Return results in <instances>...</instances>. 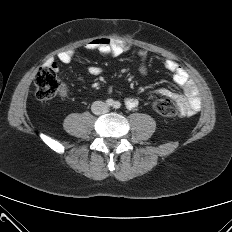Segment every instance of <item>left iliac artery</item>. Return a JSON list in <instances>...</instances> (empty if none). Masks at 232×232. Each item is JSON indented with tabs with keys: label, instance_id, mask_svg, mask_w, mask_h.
I'll return each mask as SVG.
<instances>
[{
	"label": "left iliac artery",
	"instance_id": "obj_1",
	"mask_svg": "<svg viewBox=\"0 0 232 232\" xmlns=\"http://www.w3.org/2000/svg\"><path fill=\"white\" fill-rule=\"evenodd\" d=\"M120 106H121V103H120V102L116 101V102L114 103V108H115V109H119Z\"/></svg>",
	"mask_w": 232,
	"mask_h": 232
}]
</instances>
